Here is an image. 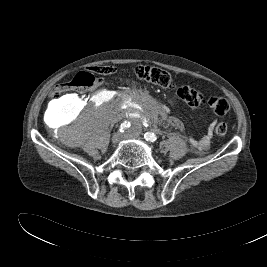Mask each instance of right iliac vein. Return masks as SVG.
Segmentation results:
<instances>
[{
	"mask_svg": "<svg viewBox=\"0 0 267 267\" xmlns=\"http://www.w3.org/2000/svg\"><path fill=\"white\" fill-rule=\"evenodd\" d=\"M122 134L121 133H115L114 135H113V137H112V143L113 144H117L120 140H121V138H122Z\"/></svg>",
	"mask_w": 267,
	"mask_h": 267,
	"instance_id": "obj_1",
	"label": "right iliac vein"
}]
</instances>
